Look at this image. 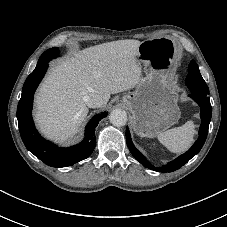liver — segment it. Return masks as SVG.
<instances>
[{
  "label": "liver",
  "mask_w": 227,
  "mask_h": 227,
  "mask_svg": "<svg viewBox=\"0 0 227 227\" xmlns=\"http://www.w3.org/2000/svg\"><path fill=\"white\" fill-rule=\"evenodd\" d=\"M142 42L125 39L91 46L52 68L35 97V120L57 142L72 138L88 114L87 99L130 90L143 79L137 52Z\"/></svg>",
  "instance_id": "1"
}]
</instances>
